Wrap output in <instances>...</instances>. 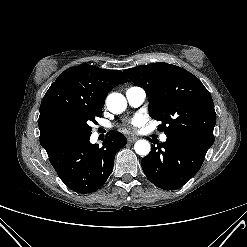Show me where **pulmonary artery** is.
<instances>
[{
  "instance_id": "obj_1",
  "label": "pulmonary artery",
  "mask_w": 247,
  "mask_h": 247,
  "mask_svg": "<svg viewBox=\"0 0 247 247\" xmlns=\"http://www.w3.org/2000/svg\"><path fill=\"white\" fill-rule=\"evenodd\" d=\"M126 99L132 107H138L143 104L146 99V91L140 86H132L126 90ZM160 140L165 142L167 136L162 134Z\"/></svg>"
}]
</instances>
